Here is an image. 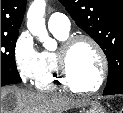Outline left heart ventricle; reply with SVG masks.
Segmentation results:
<instances>
[{"instance_id": "obj_1", "label": "left heart ventricle", "mask_w": 123, "mask_h": 113, "mask_svg": "<svg viewBox=\"0 0 123 113\" xmlns=\"http://www.w3.org/2000/svg\"><path fill=\"white\" fill-rule=\"evenodd\" d=\"M68 68L74 83L92 88L100 74V58L91 44L79 42L70 53Z\"/></svg>"}]
</instances>
